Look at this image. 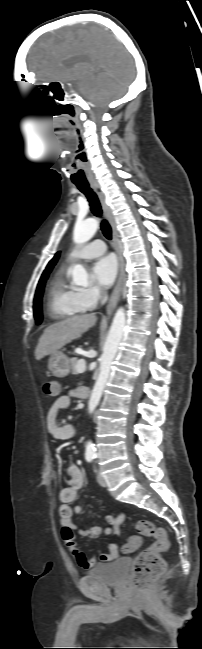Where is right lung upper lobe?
Returning <instances> with one entry per match:
<instances>
[{
	"label": "right lung upper lobe",
	"mask_w": 202,
	"mask_h": 649,
	"mask_svg": "<svg viewBox=\"0 0 202 649\" xmlns=\"http://www.w3.org/2000/svg\"><path fill=\"white\" fill-rule=\"evenodd\" d=\"M58 257H59V252L56 253V255L54 256V258H53V259L48 263V265H47L46 269L44 270L43 274L46 273V272H48V271H51V270H52L53 266L55 265V263H56L57 260H58Z\"/></svg>",
	"instance_id": "right-lung-upper-lobe-1"
}]
</instances>
